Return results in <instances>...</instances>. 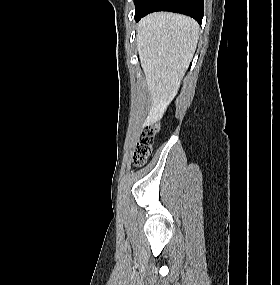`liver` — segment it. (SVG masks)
<instances>
[{
  "mask_svg": "<svg viewBox=\"0 0 280 285\" xmlns=\"http://www.w3.org/2000/svg\"><path fill=\"white\" fill-rule=\"evenodd\" d=\"M137 50L150 96L144 125L158 121L176 96L193 58L199 25L190 17L152 13L137 25Z\"/></svg>",
  "mask_w": 280,
  "mask_h": 285,
  "instance_id": "6515ba94",
  "label": "liver"
}]
</instances>
